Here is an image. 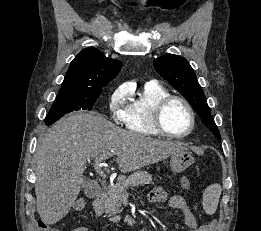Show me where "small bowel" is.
Returning a JSON list of instances; mask_svg holds the SVG:
<instances>
[{
    "mask_svg": "<svg viewBox=\"0 0 261 231\" xmlns=\"http://www.w3.org/2000/svg\"><path fill=\"white\" fill-rule=\"evenodd\" d=\"M181 186L184 189L190 187V181L186 176L181 178ZM149 201L154 204L165 202L167 194L162 189H155L149 194ZM169 205L172 209H175L182 213L184 217V225L187 231H214L213 225H200L195 217L193 210L191 209L187 200L180 196L174 195L169 199ZM70 231H88L85 227H78L71 229Z\"/></svg>",
    "mask_w": 261,
    "mask_h": 231,
    "instance_id": "small-bowel-1",
    "label": "small bowel"
}]
</instances>
